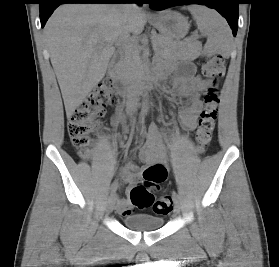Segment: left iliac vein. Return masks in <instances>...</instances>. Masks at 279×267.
Returning <instances> with one entry per match:
<instances>
[{
  "mask_svg": "<svg viewBox=\"0 0 279 267\" xmlns=\"http://www.w3.org/2000/svg\"><path fill=\"white\" fill-rule=\"evenodd\" d=\"M174 203H175L174 212H175L176 214H179L180 211H181L180 204H179L178 200L174 201Z\"/></svg>",
  "mask_w": 279,
  "mask_h": 267,
  "instance_id": "1",
  "label": "left iliac vein"
}]
</instances>
